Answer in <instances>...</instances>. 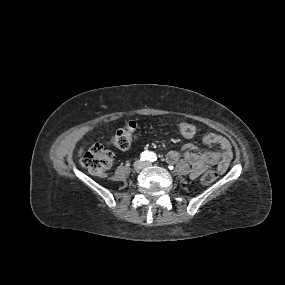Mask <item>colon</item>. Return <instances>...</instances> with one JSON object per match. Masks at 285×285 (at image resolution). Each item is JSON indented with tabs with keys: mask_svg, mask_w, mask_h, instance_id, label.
<instances>
[{
	"mask_svg": "<svg viewBox=\"0 0 285 285\" xmlns=\"http://www.w3.org/2000/svg\"><path fill=\"white\" fill-rule=\"evenodd\" d=\"M177 126L180 134L184 138H193L197 133L196 126L189 121L179 120ZM136 127V122L129 121L124 127L115 132L112 138V144L122 150L129 148L135 137ZM112 162V152L106 149L102 144H94L91 146L82 158V166L97 177L105 176ZM217 177V172L207 171L201 176V182L204 185H209L213 183Z\"/></svg>",
	"mask_w": 285,
	"mask_h": 285,
	"instance_id": "colon-1",
	"label": "colon"
}]
</instances>
